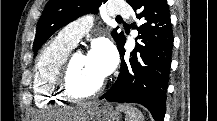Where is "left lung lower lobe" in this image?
I'll return each mask as SVG.
<instances>
[{
	"instance_id": "obj_1",
	"label": "left lung lower lobe",
	"mask_w": 217,
	"mask_h": 121,
	"mask_svg": "<svg viewBox=\"0 0 217 121\" xmlns=\"http://www.w3.org/2000/svg\"><path fill=\"white\" fill-rule=\"evenodd\" d=\"M142 21L139 42L129 58H124L125 37L117 45L121 68L114 85L101 96L111 102L145 106L155 121H163L166 90L171 67L173 33L166 0H129Z\"/></svg>"
}]
</instances>
